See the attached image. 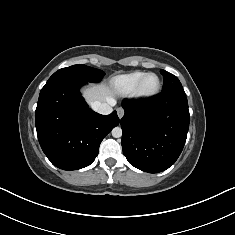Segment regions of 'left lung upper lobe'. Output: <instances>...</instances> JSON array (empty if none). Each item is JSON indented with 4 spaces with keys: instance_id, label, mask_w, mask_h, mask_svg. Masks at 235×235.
<instances>
[{
    "instance_id": "obj_1",
    "label": "left lung upper lobe",
    "mask_w": 235,
    "mask_h": 235,
    "mask_svg": "<svg viewBox=\"0 0 235 235\" xmlns=\"http://www.w3.org/2000/svg\"><path fill=\"white\" fill-rule=\"evenodd\" d=\"M161 74L163 75V89L162 92L175 90V89H183L179 79L173 74L161 70Z\"/></svg>"
}]
</instances>
